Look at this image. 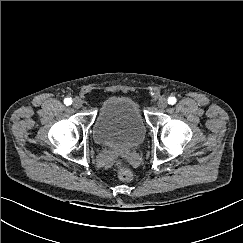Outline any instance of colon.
Here are the masks:
<instances>
[{
    "mask_svg": "<svg viewBox=\"0 0 243 243\" xmlns=\"http://www.w3.org/2000/svg\"><path fill=\"white\" fill-rule=\"evenodd\" d=\"M112 165L121 180L129 182L133 179L132 171L122 161L115 159Z\"/></svg>",
    "mask_w": 243,
    "mask_h": 243,
    "instance_id": "colon-1",
    "label": "colon"
}]
</instances>
